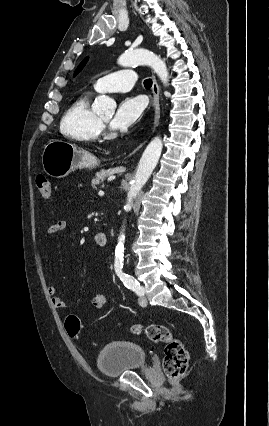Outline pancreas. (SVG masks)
Returning <instances> with one entry per match:
<instances>
[{
    "instance_id": "1",
    "label": "pancreas",
    "mask_w": 269,
    "mask_h": 426,
    "mask_svg": "<svg viewBox=\"0 0 269 426\" xmlns=\"http://www.w3.org/2000/svg\"><path fill=\"white\" fill-rule=\"evenodd\" d=\"M108 176L109 174L106 171L97 172L91 182L92 188L97 189V185L101 184Z\"/></svg>"
}]
</instances>
